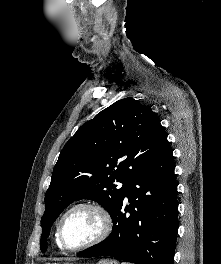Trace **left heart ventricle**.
<instances>
[{"mask_svg": "<svg viewBox=\"0 0 221 264\" xmlns=\"http://www.w3.org/2000/svg\"><path fill=\"white\" fill-rule=\"evenodd\" d=\"M101 230L99 216L88 209H78L68 215L63 225V238L70 247L80 246L94 239Z\"/></svg>", "mask_w": 221, "mask_h": 264, "instance_id": "left-heart-ventricle-1", "label": "left heart ventricle"}]
</instances>
